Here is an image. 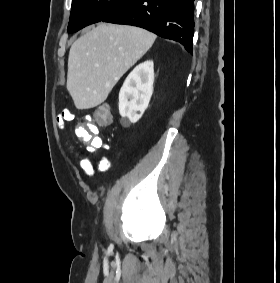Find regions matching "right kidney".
<instances>
[{
  "label": "right kidney",
  "mask_w": 280,
  "mask_h": 283,
  "mask_svg": "<svg viewBox=\"0 0 280 283\" xmlns=\"http://www.w3.org/2000/svg\"><path fill=\"white\" fill-rule=\"evenodd\" d=\"M154 64L145 61L127 76L119 93L120 123L128 127L142 117L153 93Z\"/></svg>",
  "instance_id": "obj_1"
}]
</instances>
